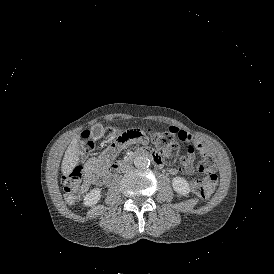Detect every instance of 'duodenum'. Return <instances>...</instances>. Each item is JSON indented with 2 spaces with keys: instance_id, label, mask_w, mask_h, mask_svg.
I'll use <instances>...</instances> for the list:
<instances>
[{
  "instance_id": "duodenum-1",
  "label": "duodenum",
  "mask_w": 274,
  "mask_h": 274,
  "mask_svg": "<svg viewBox=\"0 0 274 274\" xmlns=\"http://www.w3.org/2000/svg\"><path fill=\"white\" fill-rule=\"evenodd\" d=\"M137 156H146L152 160V162L154 163L155 166H157V167L162 166V160H161L160 156L157 154V152L149 147H145V148H142V149L138 150L137 152L127 156L124 159L117 160V161L111 163L109 166L110 173L118 171L120 168H122L126 164L130 163L133 160V158H135Z\"/></svg>"
}]
</instances>
